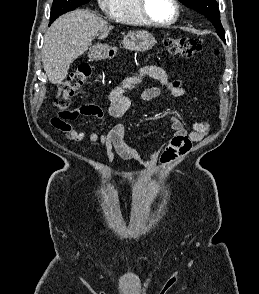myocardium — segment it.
Instances as JSON below:
<instances>
[{
  "mask_svg": "<svg viewBox=\"0 0 259 294\" xmlns=\"http://www.w3.org/2000/svg\"><path fill=\"white\" fill-rule=\"evenodd\" d=\"M171 1L174 5L175 14H174V17L168 22H158L149 15L147 10V2H148L147 0H138L139 14L142 17V19L149 25L156 26V27H169L175 24L180 17V5L178 0H171Z\"/></svg>",
  "mask_w": 259,
  "mask_h": 294,
  "instance_id": "myocardium-1",
  "label": "myocardium"
}]
</instances>
